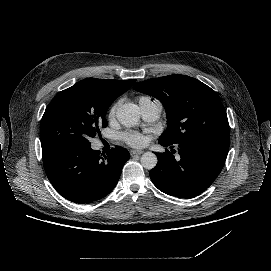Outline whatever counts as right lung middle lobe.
<instances>
[{"instance_id": "right-lung-middle-lobe-1", "label": "right lung middle lobe", "mask_w": 271, "mask_h": 271, "mask_svg": "<svg viewBox=\"0 0 271 271\" xmlns=\"http://www.w3.org/2000/svg\"><path fill=\"white\" fill-rule=\"evenodd\" d=\"M107 110L89 107L73 92H59L41 120L42 148L63 143L90 145L88 139L100 134V129L107 126Z\"/></svg>"}]
</instances>
